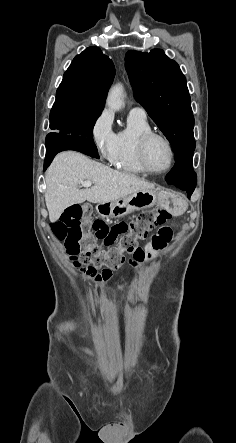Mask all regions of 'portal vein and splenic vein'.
<instances>
[{"label": "portal vein and splenic vein", "mask_w": 236, "mask_h": 443, "mask_svg": "<svg viewBox=\"0 0 236 443\" xmlns=\"http://www.w3.org/2000/svg\"><path fill=\"white\" fill-rule=\"evenodd\" d=\"M91 185H92L91 181H84V182H82V186L85 187V188H89Z\"/></svg>", "instance_id": "1"}]
</instances>
